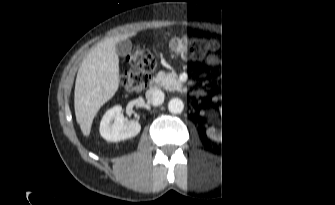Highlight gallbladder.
Listing matches in <instances>:
<instances>
[{
	"mask_svg": "<svg viewBox=\"0 0 335 205\" xmlns=\"http://www.w3.org/2000/svg\"><path fill=\"white\" fill-rule=\"evenodd\" d=\"M117 53L120 55H126L131 50V45L128 42H120L116 45Z\"/></svg>",
	"mask_w": 335,
	"mask_h": 205,
	"instance_id": "1",
	"label": "gallbladder"
}]
</instances>
